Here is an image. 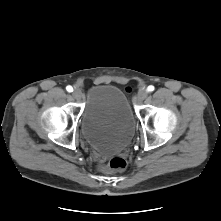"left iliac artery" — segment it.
<instances>
[{"instance_id": "obj_1", "label": "left iliac artery", "mask_w": 221, "mask_h": 221, "mask_svg": "<svg viewBox=\"0 0 221 221\" xmlns=\"http://www.w3.org/2000/svg\"><path fill=\"white\" fill-rule=\"evenodd\" d=\"M147 90L150 92V91H153L154 90V86L150 85L148 86Z\"/></svg>"}]
</instances>
